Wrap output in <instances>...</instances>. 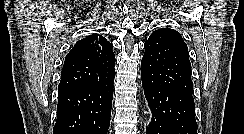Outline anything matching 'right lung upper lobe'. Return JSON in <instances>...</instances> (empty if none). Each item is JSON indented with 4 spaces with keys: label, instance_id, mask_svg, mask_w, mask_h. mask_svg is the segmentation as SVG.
I'll return each mask as SVG.
<instances>
[{
    "label": "right lung upper lobe",
    "instance_id": "1",
    "mask_svg": "<svg viewBox=\"0 0 244 134\" xmlns=\"http://www.w3.org/2000/svg\"><path fill=\"white\" fill-rule=\"evenodd\" d=\"M114 66L112 44L101 35H89L67 54L58 91L99 84L115 74Z\"/></svg>",
    "mask_w": 244,
    "mask_h": 134
}]
</instances>
